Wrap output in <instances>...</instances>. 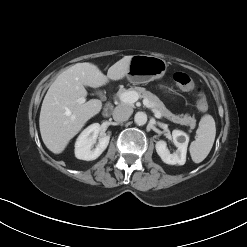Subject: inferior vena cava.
Returning <instances> with one entry per match:
<instances>
[{
    "label": "inferior vena cava",
    "mask_w": 247,
    "mask_h": 247,
    "mask_svg": "<svg viewBox=\"0 0 247 247\" xmlns=\"http://www.w3.org/2000/svg\"><path fill=\"white\" fill-rule=\"evenodd\" d=\"M133 109L126 105H119L113 111V118L115 121L122 122L129 119Z\"/></svg>",
    "instance_id": "obj_1"
}]
</instances>
